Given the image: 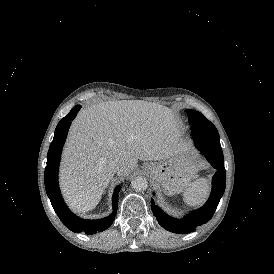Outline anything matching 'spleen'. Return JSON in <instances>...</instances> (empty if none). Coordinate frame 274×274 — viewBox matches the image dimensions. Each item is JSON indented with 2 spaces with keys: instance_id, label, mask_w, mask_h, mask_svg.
<instances>
[{
  "instance_id": "3e777b00",
  "label": "spleen",
  "mask_w": 274,
  "mask_h": 274,
  "mask_svg": "<svg viewBox=\"0 0 274 274\" xmlns=\"http://www.w3.org/2000/svg\"><path fill=\"white\" fill-rule=\"evenodd\" d=\"M209 191L208 180L197 179L193 181L184 192V200L191 205L200 204L204 201Z\"/></svg>"
}]
</instances>
